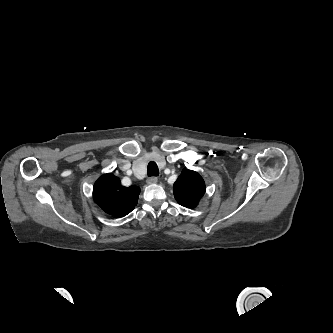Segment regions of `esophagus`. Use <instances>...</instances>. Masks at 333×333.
Here are the masks:
<instances>
[{
  "mask_svg": "<svg viewBox=\"0 0 333 333\" xmlns=\"http://www.w3.org/2000/svg\"><path fill=\"white\" fill-rule=\"evenodd\" d=\"M157 182H158V178L155 177V176L149 177V178L147 179V183H148V184H155V183H157Z\"/></svg>",
  "mask_w": 333,
  "mask_h": 333,
  "instance_id": "34e87169",
  "label": "esophagus"
}]
</instances>
